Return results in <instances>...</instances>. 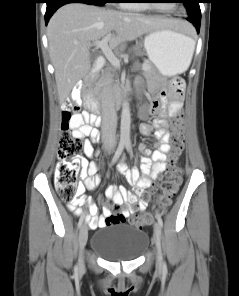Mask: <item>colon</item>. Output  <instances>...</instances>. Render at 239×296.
Instances as JSON below:
<instances>
[{
    "mask_svg": "<svg viewBox=\"0 0 239 296\" xmlns=\"http://www.w3.org/2000/svg\"><path fill=\"white\" fill-rule=\"evenodd\" d=\"M80 114V108L73 100L68 99L65 101L61 113L62 136L58 154L59 162L55 170V185L61 199L71 207L76 203L78 196L80 153L84 147L82 137L75 134V124L73 123ZM170 144L172 146L170 168L161 177L157 185L161 190L158 197V204L162 209H165L171 204L180 186L182 170L177 162L185 144L183 121L180 116H174ZM109 210L110 215L106 218L107 225L118 224L125 221L123 215L118 212L119 208L117 205L113 204L109 207ZM151 221L152 216L148 212L135 215L130 219V222L137 226L148 225Z\"/></svg>",
    "mask_w": 239,
    "mask_h": 296,
    "instance_id": "obj_1",
    "label": "colon"
}]
</instances>
